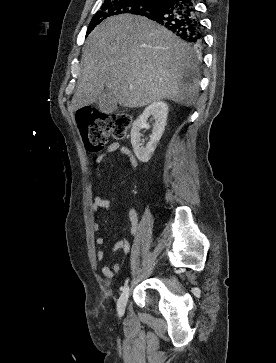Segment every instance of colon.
I'll return each instance as SVG.
<instances>
[{
  "mask_svg": "<svg viewBox=\"0 0 276 363\" xmlns=\"http://www.w3.org/2000/svg\"><path fill=\"white\" fill-rule=\"evenodd\" d=\"M76 116L84 145L92 153L102 151L109 136L123 139L131 124L129 115L121 112L101 113L81 108Z\"/></svg>",
  "mask_w": 276,
  "mask_h": 363,
  "instance_id": "5ec220e1",
  "label": "colon"
}]
</instances>
